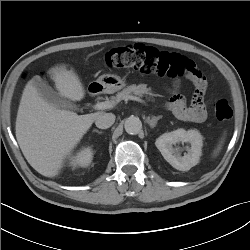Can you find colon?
Segmentation results:
<instances>
[{
	"label": "colon",
	"instance_id": "5ec220e1",
	"mask_svg": "<svg viewBox=\"0 0 250 250\" xmlns=\"http://www.w3.org/2000/svg\"><path fill=\"white\" fill-rule=\"evenodd\" d=\"M104 64L110 68H132L143 73H155L170 78L195 77L192 101H204L207 80L192 60L179 53L161 51L142 44L127 45L108 51L104 57ZM213 110L220 123L226 124L233 117V110L226 99L216 100Z\"/></svg>",
	"mask_w": 250,
	"mask_h": 250
}]
</instances>
